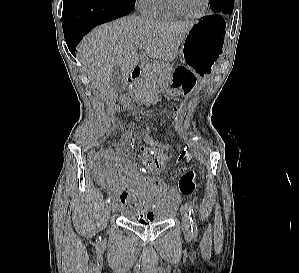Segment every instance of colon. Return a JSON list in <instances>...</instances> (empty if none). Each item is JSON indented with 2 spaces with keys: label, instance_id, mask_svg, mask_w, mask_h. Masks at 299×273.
Here are the masks:
<instances>
[{
  "label": "colon",
  "instance_id": "5ec220e1",
  "mask_svg": "<svg viewBox=\"0 0 299 273\" xmlns=\"http://www.w3.org/2000/svg\"><path fill=\"white\" fill-rule=\"evenodd\" d=\"M141 138L144 143L151 146L150 149H167L172 145L170 138L152 137L146 134L142 135ZM124 143L125 135L115 139L109 149L119 150L123 147ZM141 147L146 146L141 145L140 148ZM90 164L94 176L98 180H103L107 175V166L102 154L93 153L90 159ZM178 190L185 196L194 194L196 191V174L194 171H186L182 174L178 182Z\"/></svg>",
  "mask_w": 299,
  "mask_h": 273
}]
</instances>
